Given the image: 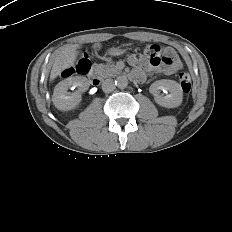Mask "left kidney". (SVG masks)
Here are the masks:
<instances>
[{
  "instance_id": "5707ae66",
  "label": "left kidney",
  "mask_w": 232,
  "mask_h": 232,
  "mask_svg": "<svg viewBox=\"0 0 232 232\" xmlns=\"http://www.w3.org/2000/svg\"><path fill=\"white\" fill-rule=\"evenodd\" d=\"M169 91L168 95H161L160 91ZM149 92L154 96L155 102L165 108H176L183 101V91L179 83L174 80L162 79L151 84Z\"/></svg>"
}]
</instances>
